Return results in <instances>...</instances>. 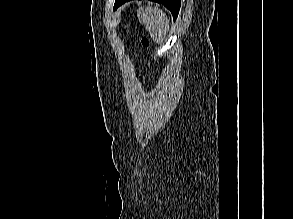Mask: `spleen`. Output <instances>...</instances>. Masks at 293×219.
<instances>
[{
  "instance_id": "1",
  "label": "spleen",
  "mask_w": 293,
  "mask_h": 219,
  "mask_svg": "<svg viewBox=\"0 0 293 219\" xmlns=\"http://www.w3.org/2000/svg\"><path fill=\"white\" fill-rule=\"evenodd\" d=\"M137 16L152 39L156 43L162 44L169 31V19L166 14L156 7H146L140 8L137 11Z\"/></svg>"
}]
</instances>
